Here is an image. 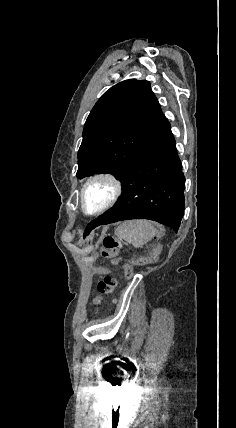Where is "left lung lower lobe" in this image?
I'll list each match as a JSON object with an SVG mask.
<instances>
[{
  "label": "left lung lower lobe",
  "instance_id": "left-lung-lower-lobe-1",
  "mask_svg": "<svg viewBox=\"0 0 236 428\" xmlns=\"http://www.w3.org/2000/svg\"><path fill=\"white\" fill-rule=\"evenodd\" d=\"M120 181L119 201L91 221L85 235L99 225L128 219H150L178 231L185 208V177L164 115L151 128Z\"/></svg>",
  "mask_w": 236,
  "mask_h": 428
}]
</instances>
